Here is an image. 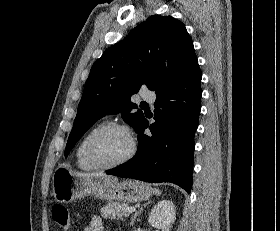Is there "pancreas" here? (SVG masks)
Returning <instances> with one entry per match:
<instances>
[{"instance_id": "1", "label": "pancreas", "mask_w": 280, "mask_h": 231, "mask_svg": "<svg viewBox=\"0 0 280 231\" xmlns=\"http://www.w3.org/2000/svg\"><path fill=\"white\" fill-rule=\"evenodd\" d=\"M124 207H129L128 203H119V201H109L104 207H101L102 217L105 219H123V217H128L130 211H123Z\"/></svg>"}]
</instances>
